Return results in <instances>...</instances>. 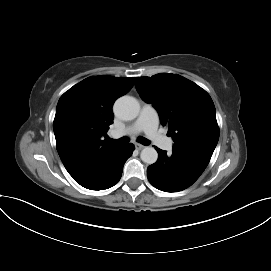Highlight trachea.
<instances>
[{"label":"trachea","mask_w":271,"mask_h":271,"mask_svg":"<svg viewBox=\"0 0 271 271\" xmlns=\"http://www.w3.org/2000/svg\"><path fill=\"white\" fill-rule=\"evenodd\" d=\"M111 142H114L116 144H125L129 142V138L128 137H123L120 139H109ZM137 142L143 144V145H149L150 141L144 137H138Z\"/></svg>","instance_id":"trachea-1"}]
</instances>
